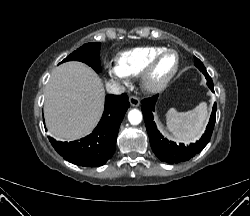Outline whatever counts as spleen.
Listing matches in <instances>:
<instances>
[{"mask_svg":"<svg viewBox=\"0 0 250 216\" xmlns=\"http://www.w3.org/2000/svg\"><path fill=\"white\" fill-rule=\"evenodd\" d=\"M207 119L206 102L200 103L193 110L187 112H177L172 108L166 114L168 130L174 137L186 143L199 139L204 132Z\"/></svg>","mask_w":250,"mask_h":216,"instance_id":"3e777b00","label":"spleen"}]
</instances>
